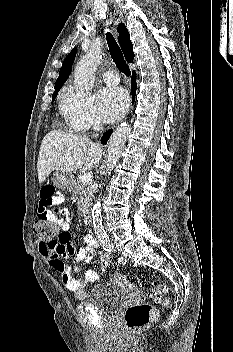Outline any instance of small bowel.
<instances>
[{
	"instance_id": "1",
	"label": "small bowel",
	"mask_w": 233,
	"mask_h": 352,
	"mask_svg": "<svg viewBox=\"0 0 233 352\" xmlns=\"http://www.w3.org/2000/svg\"><path fill=\"white\" fill-rule=\"evenodd\" d=\"M63 202V196L52 185H45L39 190L37 217L52 222L58 230L56 238L50 241L37 240V250L42 259L53 267L61 276L62 282L69 291L85 287L98 280L99 274L87 270L83 278H78V267L71 268L65 258L75 256L77 263L91 264L98 255V243L90 234L83 235L84 247L75 250L71 244L69 232L71 224L70 212L67 208L53 210Z\"/></svg>"
}]
</instances>
